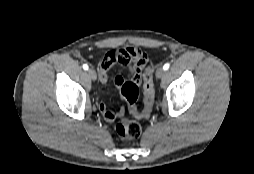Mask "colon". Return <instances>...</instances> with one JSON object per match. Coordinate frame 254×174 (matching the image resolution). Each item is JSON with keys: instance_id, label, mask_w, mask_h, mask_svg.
I'll return each instance as SVG.
<instances>
[{"instance_id": "colon-1", "label": "colon", "mask_w": 254, "mask_h": 174, "mask_svg": "<svg viewBox=\"0 0 254 174\" xmlns=\"http://www.w3.org/2000/svg\"><path fill=\"white\" fill-rule=\"evenodd\" d=\"M120 94L121 97L126 101L131 114L137 118L149 117L154 102L152 70L148 68L144 74V107L142 111H138L136 105L139 95L137 82L129 81L123 83L120 88ZM114 129L116 134L122 140L136 139L141 133L140 125L136 121L123 117L122 113L119 114Z\"/></svg>"}]
</instances>
